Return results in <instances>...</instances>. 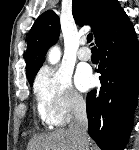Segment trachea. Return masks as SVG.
<instances>
[{"label": "trachea", "mask_w": 139, "mask_h": 150, "mask_svg": "<svg viewBox=\"0 0 139 150\" xmlns=\"http://www.w3.org/2000/svg\"><path fill=\"white\" fill-rule=\"evenodd\" d=\"M92 40H93V35H92V34H89V35L87 36V42L90 43V42H92ZM91 45H93V43H92Z\"/></svg>", "instance_id": "trachea-1"}]
</instances>
